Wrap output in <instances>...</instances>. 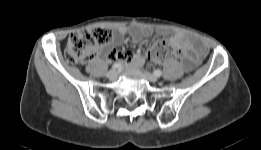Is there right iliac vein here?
<instances>
[{
  "label": "right iliac vein",
  "mask_w": 261,
  "mask_h": 150,
  "mask_svg": "<svg viewBox=\"0 0 261 150\" xmlns=\"http://www.w3.org/2000/svg\"><path fill=\"white\" fill-rule=\"evenodd\" d=\"M118 76V72L114 69L110 70L108 73H107V77L111 80H115Z\"/></svg>",
  "instance_id": "right-iliac-vein-1"
}]
</instances>
